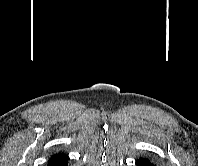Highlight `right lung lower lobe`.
<instances>
[{"instance_id":"1","label":"right lung lower lobe","mask_w":198,"mask_h":166,"mask_svg":"<svg viewBox=\"0 0 198 166\" xmlns=\"http://www.w3.org/2000/svg\"><path fill=\"white\" fill-rule=\"evenodd\" d=\"M68 156L65 154L53 155L49 161L48 166H68Z\"/></svg>"}]
</instances>
